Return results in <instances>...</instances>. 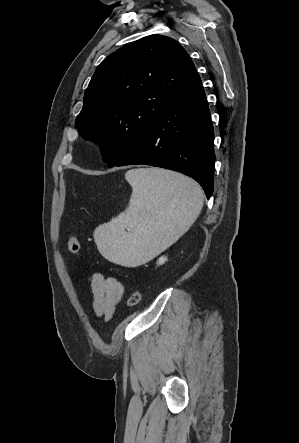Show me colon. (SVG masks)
<instances>
[{
  "mask_svg": "<svg viewBox=\"0 0 299 443\" xmlns=\"http://www.w3.org/2000/svg\"><path fill=\"white\" fill-rule=\"evenodd\" d=\"M67 244L69 250L74 254H79L81 252V245L77 237L73 233H69L67 238ZM141 292L139 290H134L131 292L128 298V305L130 307L137 306L141 301Z\"/></svg>",
  "mask_w": 299,
  "mask_h": 443,
  "instance_id": "obj_1",
  "label": "colon"
}]
</instances>
